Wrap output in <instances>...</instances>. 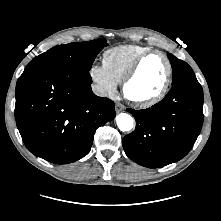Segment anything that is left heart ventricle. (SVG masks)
Listing matches in <instances>:
<instances>
[{"mask_svg":"<svg viewBox=\"0 0 221 221\" xmlns=\"http://www.w3.org/2000/svg\"><path fill=\"white\" fill-rule=\"evenodd\" d=\"M167 65L162 56L153 54L147 57L137 75L128 86L129 94L144 99L155 95L162 88L166 78Z\"/></svg>","mask_w":221,"mask_h":221,"instance_id":"obj_1","label":"left heart ventricle"}]
</instances>
